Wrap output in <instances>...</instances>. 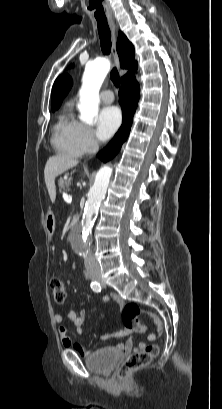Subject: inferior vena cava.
I'll list each match as a JSON object with an SVG mask.
<instances>
[{"label":"inferior vena cava","instance_id":"1","mask_svg":"<svg viewBox=\"0 0 222 409\" xmlns=\"http://www.w3.org/2000/svg\"><path fill=\"white\" fill-rule=\"evenodd\" d=\"M87 254V258L85 260V265L86 268L88 270H99V264L97 262V260L94 258L93 254H92V250L90 249V247L87 248L86 251Z\"/></svg>","mask_w":222,"mask_h":409}]
</instances>
